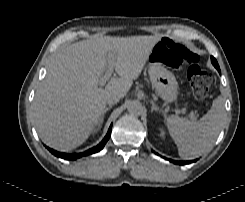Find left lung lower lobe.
Instances as JSON below:
<instances>
[{"label": "left lung lower lobe", "mask_w": 245, "mask_h": 202, "mask_svg": "<svg viewBox=\"0 0 245 202\" xmlns=\"http://www.w3.org/2000/svg\"><path fill=\"white\" fill-rule=\"evenodd\" d=\"M170 162H172L174 164H178V165H185V164H189V163L194 162V161H175V160H170Z\"/></svg>", "instance_id": "1"}]
</instances>
